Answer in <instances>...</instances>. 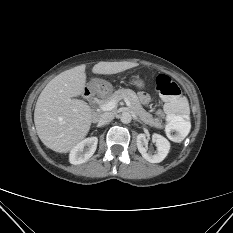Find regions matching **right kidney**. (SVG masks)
I'll return each mask as SVG.
<instances>
[{
  "label": "right kidney",
  "instance_id": "obj_1",
  "mask_svg": "<svg viewBox=\"0 0 233 233\" xmlns=\"http://www.w3.org/2000/svg\"><path fill=\"white\" fill-rule=\"evenodd\" d=\"M97 137L86 138L72 148L69 154L71 164L78 165L86 162L96 151Z\"/></svg>",
  "mask_w": 233,
  "mask_h": 233
}]
</instances>
